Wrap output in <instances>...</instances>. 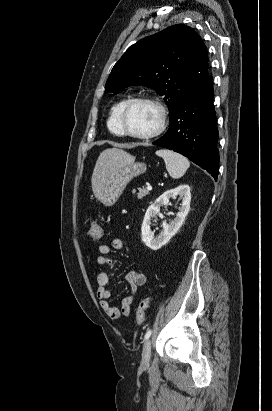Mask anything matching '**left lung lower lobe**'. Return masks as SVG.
<instances>
[{"label": "left lung lower lobe", "mask_w": 272, "mask_h": 411, "mask_svg": "<svg viewBox=\"0 0 272 411\" xmlns=\"http://www.w3.org/2000/svg\"><path fill=\"white\" fill-rule=\"evenodd\" d=\"M213 99L212 77L208 76L179 104L170 117L169 130L153 144L186 156L217 180L219 133Z\"/></svg>", "instance_id": "1"}]
</instances>
